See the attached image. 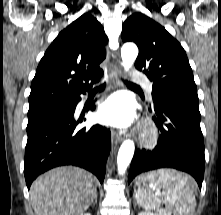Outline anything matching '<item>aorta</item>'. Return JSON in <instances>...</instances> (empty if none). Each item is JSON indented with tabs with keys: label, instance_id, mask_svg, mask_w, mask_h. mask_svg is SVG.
<instances>
[{
	"label": "aorta",
	"instance_id": "762f6f07",
	"mask_svg": "<svg viewBox=\"0 0 221 215\" xmlns=\"http://www.w3.org/2000/svg\"><path fill=\"white\" fill-rule=\"evenodd\" d=\"M138 56V48L134 43H125L121 48L122 65L128 71L134 64ZM135 151L134 142L130 139L125 140L118 152L117 168L118 173L123 175L129 166Z\"/></svg>",
	"mask_w": 221,
	"mask_h": 215
}]
</instances>
